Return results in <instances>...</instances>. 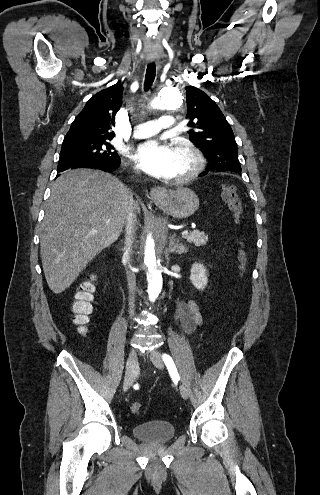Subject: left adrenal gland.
I'll return each mask as SVG.
<instances>
[{
  "mask_svg": "<svg viewBox=\"0 0 320 495\" xmlns=\"http://www.w3.org/2000/svg\"><path fill=\"white\" fill-rule=\"evenodd\" d=\"M169 251L171 253L175 252L178 254H182V253L187 252V247L185 245H183L182 243H180L179 240H177L175 238V235H174L170 240Z\"/></svg>",
  "mask_w": 320,
  "mask_h": 495,
  "instance_id": "left-adrenal-gland-1",
  "label": "left adrenal gland"
}]
</instances>
